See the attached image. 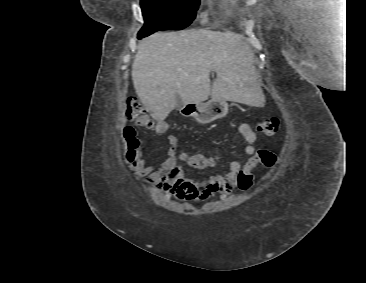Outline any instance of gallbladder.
Instances as JSON below:
<instances>
[{
    "instance_id": "bac80fb5",
    "label": "gallbladder",
    "mask_w": 366,
    "mask_h": 283,
    "mask_svg": "<svg viewBox=\"0 0 366 283\" xmlns=\"http://www.w3.org/2000/svg\"><path fill=\"white\" fill-rule=\"evenodd\" d=\"M176 102H177L176 108L177 109H180L182 107V105H183V101H182V99L180 98L179 95H176Z\"/></svg>"
}]
</instances>
